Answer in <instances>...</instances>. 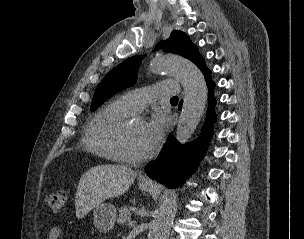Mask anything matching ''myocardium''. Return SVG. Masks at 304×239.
Returning a JSON list of instances; mask_svg holds the SVG:
<instances>
[{
  "label": "myocardium",
  "instance_id": "f54148a6",
  "mask_svg": "<svg viewBox=\"0 0 304 239\" xmlns=\"http://www.w3.org/2000/svg\"><path fill=\"white\" fill-rule=\"evenodd\" d=\"M129 120H125L117 130L115 136V149L120 161L130 164L141 163L149 158V154L132 155L126 151L125 139L129 127Z\"/></svg>",
  "mask_w": 304,
  "mask_h": 239
}]
</instances>
